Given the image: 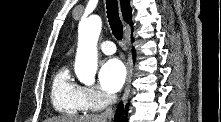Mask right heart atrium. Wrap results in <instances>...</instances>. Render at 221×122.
<instances>
[{"mask_svg": "<svg viewBox=\"0 0 221 122\" xmlns=\"http://www.w3.org/2000/svg\"><path fill=\"white\" fill-rule=\"evenodd\" d=\"M82 99L87 110H100L108 106L113 98L96 87H82Z\"/></svg>", "mask_w": 221, "mask_h": 122, "instance_id": "1", "label": "right heart atrium"}]
</instances>
